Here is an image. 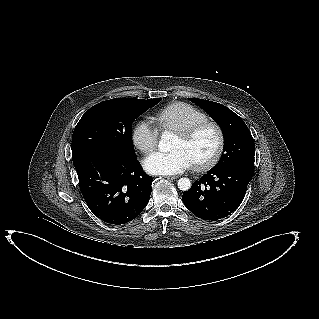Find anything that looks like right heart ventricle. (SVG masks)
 <instances>
[{
    "label": "right heart ventricle",
    "mask_w": 319,
    "mask_h": 319,
    "mask_svg": "<svg viewBox=\"0 0 319 319\" xmlns=\"http://www.w3.org/2000/svg\"><path fill=\"white\" fill-rule=\"evenodd\" d=\"M207 119V115L204 112L183 102L168 104L153 115V120L160 130L172 132L183 130Z\"/></svg>",
    "instance_id": "right-heart-ventricle-1"
}]
</instances>
